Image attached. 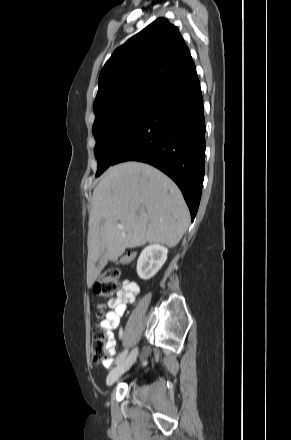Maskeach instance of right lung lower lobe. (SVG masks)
Wrapping results in <instances>:
<instances>
[{"mask_svg": "<svg viewBox=\"0 0 291 440\" xmlns=\"http://www.w3.org/2000/svg\"><path fill=\"white\" fill-rule=\"evenodd\" d=\"M205 148L203 98L194 70L155 96L111 165L134 160L163 171L182 191L193 221L203 187Z\"/></svg>", "mask_w": 291, "mask_h": 440, "instance_id": "1", "label": "right lung lower lobe"}]
</instances>
